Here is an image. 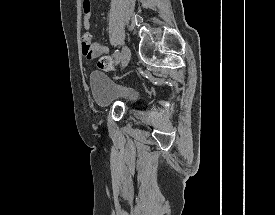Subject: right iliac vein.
Instances as JSON below:
<instances>
[{
    "instance_id": "obj_1",
    "label": "right iliac vein",
    "mask_w": 275,
    "mask_h": 215,
    "mask_svg": "<svg viewBox=\"0 0 275 215\" xmlns=\"http://www.w3.org/2000/svg\"><path fill=\"white\" fill-rule=\"evenodd\" d=\"M131 58V52L128 47H124L121 53L120 61L122 69L127 66Z\"/></svg>"
}]
</instances>
